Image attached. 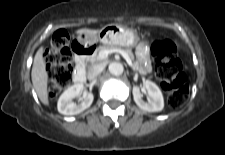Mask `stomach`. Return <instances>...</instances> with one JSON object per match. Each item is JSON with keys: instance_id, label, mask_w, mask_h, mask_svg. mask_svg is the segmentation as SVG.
Masks as SVG:
<instances>
[{"instance_id": "1", "label": "stomach", "mask_w": 225, "mask_h": 155, "mask_svg": "<svg viewBox=\"0 0 225 155\" xmlns=\"http://www.w3.org/2000/svg\"><path fill=\"white\" fill-rule=\"evenodd\" d=\"M89 36L81 35L82 39H88ZM92 39L99 40L106 45H120V46H134L139 37L133 30L123 27L121 25L111 24L102 28L97 36L91 37Z\"/></svg>"}]
</instances>
